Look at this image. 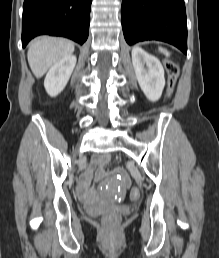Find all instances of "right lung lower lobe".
<instances>
[{"mask_svg": "<svg viewBox=\"0 0 219 258\" xmlns=\"http://www.w3.org/2000/svg\"><path fill=\"white\" fill-rule=\"evenodd\" d=\"M92 0H24L22 46L42 34L83 44L89 33Z\"/></svg>", "mask_w": 219, "mask_h": 258, "instance_id": "98d812e1", "label": "right lung lower lobe"}]
</instances>
